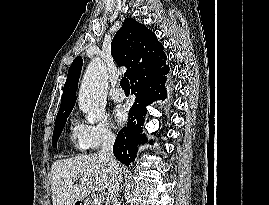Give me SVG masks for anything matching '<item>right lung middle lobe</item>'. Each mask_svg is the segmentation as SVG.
<instances>
[{
  "instance_id": "obj_1",
  "label": "right lung middle lobe",
  "mask_w": 269,
  "mask_h": 205,
  "mask_svg": "<svg viewBox=\"0 0 269 205\" xmlns=\"http://www.w3.org/2000/svg\"><path fill=\"white\" fill-rule=\"evenodd\" d=\"M69 115L57 118L55 121V127H54V132H53V137H52V146L57 147V141L62 133L63 127L65 126L67 117Z\"/></svg>"
}]
</instances>
